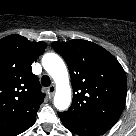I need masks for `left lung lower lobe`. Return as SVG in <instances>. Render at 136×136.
<instances>
[{
  "label": "left lung lower lobe",
  "instance_id": "left-lung-lower-lobe-1",
  "mask_svg": "<svg viewBox=\"0 0 136 136\" xmlns=\"http://www.w3.org/2000/svg\"><path fill=\"white\" fill-rule=\"evenodd\" d=\"M64 126L80 136H99L108 131L114 124L110 121H74L60 118Z\"/></svg>",
  "mask_w": 136,
  "mask_h": 136
}]
</instances>
